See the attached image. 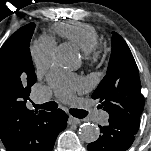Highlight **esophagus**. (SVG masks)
<instances>
[{
    "instance_id": "esophagus-1",
    "label": "esophagus",
    "mask_w": 151,
    "mask_h": 151,
    "mask_svg": "<svg viewBox=\"0 0 151 151\" xmlns=\"http://www.w3.org/2000/svg\"><path fill=\"white\" fill-rule=\"evenodd\" d=\"M81 122V120L80 119H78V118H75V117H73V116H69V118H68V123L70 124V125H74V124H79Z\"/></svg>"
}]
</instances>
